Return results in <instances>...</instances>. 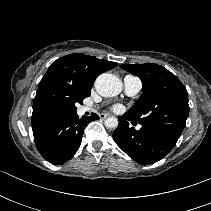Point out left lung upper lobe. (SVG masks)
<instances>
[{"mask_svg":"<svg viewBox=\"0 0 211 211\" xmlns=\"http://www.w3.org/2000/svg\"><path fill=\"white\" fill-rule=\"evenodd\" d=\"M121 67L138 76L143 84L142 95L127 112L130 118L178 140L189 114L185 86L173 73L154 63Z\"/></svg>","mask_w":211,"mask_h":211,"instance_id":"1","label":"left lung upper lobe"}]
</instances>
